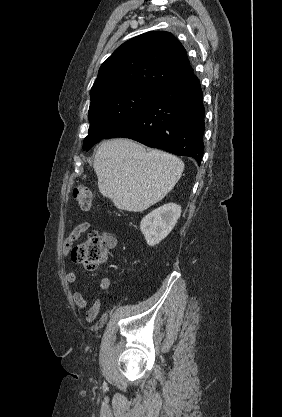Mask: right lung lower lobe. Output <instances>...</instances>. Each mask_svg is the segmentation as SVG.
I'll return each instance as SVG.
<instances>
[{
	"instance_id": "right-lung-lower-lobe-1",
	"label": "right lung lower lobe",
	"mask_w": 282,
	"mask_h": 417,
	"mask_svg": "<svg viewBox=\"0 0 282 417\" xmlns=\"http://www.w3.org/2000/svg\"><path fill=\"white\" fill-rule=\"evenodd\" d=\"M204 112L201 86L192 74L160 89L150 102L105 138H130L152 148L193 157L200 165Z\"/></svg>"
}]
</instances>
